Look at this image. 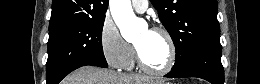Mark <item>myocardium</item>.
I'll return each instance as SVG.
<instances>
[{
	"mask_svg": "<svg viewBox=\"0 0 260 84\" xmlns=\"http://www.w3.org/2000/svg\"><path fill=\"white\" fill-rule=\"evenodd\" d=\"M150 32L161 34L167 41L169 47V57L166 65L161 69H154L149 67L143 60L141 52L139 48L135 45V55L139 68L150 75L154 76H164L172 71L175 66L176 58H177V47L175 40L172 34L164 27L154 26L150 30Z\"/></svg>",
	"mask_w": 260,
	"mask_h": 84,
	"instance_id": "f54148a6",
	"label": "myocardium"
}]
</instances>
